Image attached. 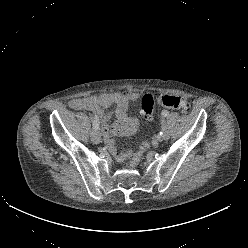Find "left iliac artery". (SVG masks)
<instances>
[{"instance_id":"obj_1","label":"left iliac artery","mask_w":248,"mask_h":248,"mask_svg":"<svg viewBox=\"0 0 248 248\" xmlns=\"http://www.w3.org/2000/svg\"><path fill=\"white\" fill-rule=\"evenodd\" d=\"M168 115H169V112L167 110L162 111V116L167 117ZM162 134H163V132L161 131L160 135H162Z\"/></svg>"}]
</instances>
